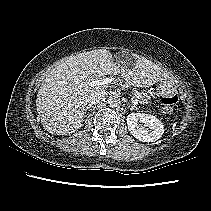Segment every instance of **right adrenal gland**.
Listing matches in <instances>:
<instances>
[{"mask_svg": "<svg viewBox=\"0 0 211 211\" xmlns=\"http://www.w3.org/2000/svg\"><path fill=\"white\" fill-rule=\"evenodd\" d=\"M91 108H94V105L92 104L87 105L85 109V114H87V111H90Z\"/></svg>", "mask_w": 211, "mask_h": 211, "instance_id": "obj_1", "label": "right adrenal gland"}]
</instances>
